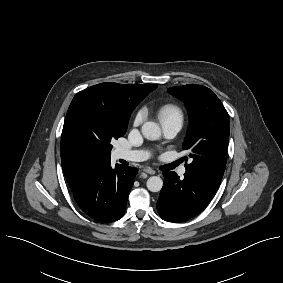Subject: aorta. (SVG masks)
Instances as JSON below:
<instances>
[{"mask_svg":"<svg viewBox=\"0 0 283 283\" xmlns=\"http://www.w3.org/2000/svg\"><path fill=\"white\" fill-rule=\"evenodd\" d=\"M143 136L148 140H157L161 136V130L155 122H145L141 128ZM147 188L151 192H159L162 189L163 181L159 176H152L147 180Z\"/></svg>","mask_w":283,"mask_h":283,"instance_id":"1","label":"aorta"}]
</instances>
